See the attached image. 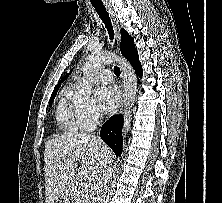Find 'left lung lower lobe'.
Wrapping results in <instances>:
<instances>
[{"instance_id":"1","label":"left lung lower lobe","mask_w":222,"mask_h":203,"mask_svg":"<svg viewBox=\"0 0 222 203\" xmlns=\"http://www.w3.org/2000/svg\"><path fill=\"white\" fill-rule=\"evenodd\" d=\"M128 60L133 65V67L136 69L138 76L141 77L142 76V68H141V64L139 62L137 51L130 58H128Z\"/></svg>"}]
</instances>
